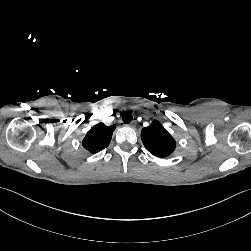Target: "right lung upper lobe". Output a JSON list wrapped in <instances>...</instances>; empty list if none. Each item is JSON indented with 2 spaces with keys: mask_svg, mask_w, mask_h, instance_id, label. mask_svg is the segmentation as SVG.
<instances>
[{
  "mask_svg": "<svg viewBox=\"0 0 251 251\" xmlns=\"http://www.w3.org/2000/svg\"><path fill=\"white\" fill-rule=\"evenodd\" d=\"M115 128V125L106 126L103 123L96 124L83 139V147L90 153H97L103 150L109 145Z\"/></svg>",
  "mask_w": 251,
  "mask_h": 251,
  "instance_id": "right-lung-upper-lobe-1",
  "label": "right lung upper lobe"
}]
</instances>
